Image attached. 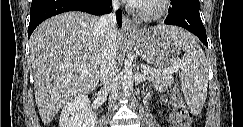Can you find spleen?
Returning a JSON list of instances; mask_svg holds the SVG:
<instances>
[{
  "label": "spleen",
  "mask_w": 243,
  "mask_h": 127,
  "mask_svg": "<svg viewBox=\"0 0 243 127\" xmlns=\"http://www.w3.org/2000/svg\"><path fill=\"white\" fill-rule=\"evenodd\" d=\"M170 35L177 46L185 51L183 58L178 59L174 67L175 70L181 68L179 76L188 106L192 112L199 113L205 103L208 88V63L205 53L188 32L172 30Z\"/></svg>",
  "instance_id": "3e777b00"
}]
</instances>
